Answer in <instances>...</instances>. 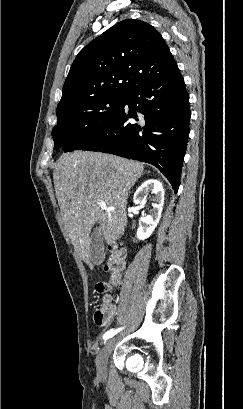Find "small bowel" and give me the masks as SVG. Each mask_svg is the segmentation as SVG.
<instances>
[{"instance_id":"1","label":"small bowel","mask_w":243,"mask_h":409,"mask_svg":"<svg viewBox=\"0 0 243 409\" xmlns=\"http://www.w3.org/2000/svg\"><path fill=\"white\" fill-rule=\"evenodd\" d=\"M102 303L106 304V305L110 308V311H111L110 317H109V318L107 319V321L102 325V327H106V326H108V325L111 323L112 318H113V315L115 314V311H116V307H115V305L113 304V302H112V297H111L110 295H104V296L102 297Z\"/></svg>"}]
</instances>
